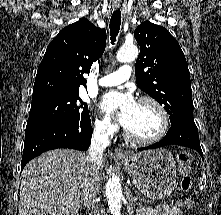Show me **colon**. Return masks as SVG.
I'll use <instances>...</instances> for the list:
<instances>
[{"instance_id":"obj_1","label":"colon","mask_w":221,"mask_h":215,"mask_svg":"<svg viewBox=\"0 0 221 215\" xmlns=\"http://www.w3.org/2000/svg\"><path fill=\"white\" fill-rule=\"evenodd\" d=\"M178 166L182 173L184 174L182 181H181V187L184 191H188L192 187V181L191 177L189 175L191 164H192V156L188 152H180L177 158ZM181 206L190 211L194 207V203L190 198H185L181 202Z\"/></svg>"}]
</instances>
